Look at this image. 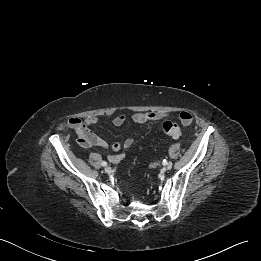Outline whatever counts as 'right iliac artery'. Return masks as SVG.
Segmentation results:
<instances>
[{
    "label": "right iliac artery",
    "instance_id": "right-iliac-artery-1",
    "mask_svg": "<svg viewBox=\"0 0 261 261\" xmlns=\"http://www.w3.org/2000/svg\"><path fill=\"white\" fill-rule=\"evenodd\" d=\"M101 165L102 166H107V162L103 161V162H101Z\"/></svg>",
    "mask_w": 261,
    "mask_h": 261
}]
</instances>
